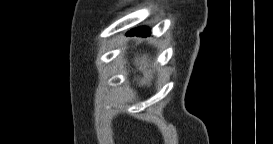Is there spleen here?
Segmentation results:
<instances>
[{
	"mask_svg": "<svg viewBox=\"0 0 273 144\" xmlns=\"http://www.w3.org/2000/svg\"><path fill=\"white\" fill-rule=\"evenodd\" d=\"M147 57V55H143L141 58L137 57L135 59L136 65H140V69L143 71V78L140 80L141 85L149 84L153 78L152 73L146 69L149 65Z\"/></svg>",
	"mask_w": 273,
	"mask_h": 144,
	"instance_id": "3e777b00",
	"label": "spleen"
}]
</instances>
